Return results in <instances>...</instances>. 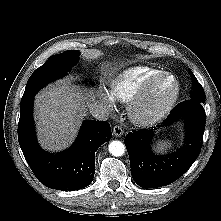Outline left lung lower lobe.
Listing matches in <instances>:
<instances>
[{"mask_svg":"<svg viewBox=\"0 0 221 221\" xmlns=\"http://www.w3.org/2000/svg\"><path fill=\"white\" fill-rule=\"evenodd\" d=\"M185 119L184 145L176 153L157 156L152 153L151 130H137L127 134L124 143L130 158L134 181L143 188H156L173 183L181 177L200 154L206 124L205 110L195 101L180 102L168 115L165 125Z\"/></svg>","mask_w":221,"mask_h":221,"instance_id":"0a47b994","label":"left lung lower lobe"}]
</instances>
